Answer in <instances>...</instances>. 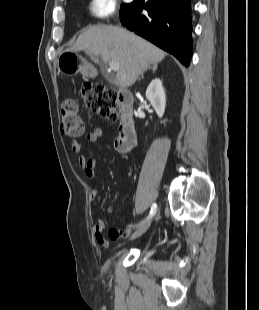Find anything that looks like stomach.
Wrapping results in <instances>:
<instances>
[{
  "instance_id": "stomach-1",
  "label": "stomach",
  "mask_w": 259,
  "mask_h": 310,
  "mask_svg": "<svg viewBox=\"0 0 259 310\" xmlns=\"http://www.w3.org/2000/svg\"><path fill=\"white\" fill-rule=\"evenodd\" d=\"M58 70L68 75L80 72L88 76L93 72V68L78 55L77 51L71 49H66L59 55Z\"/></svg>"
}]
</instances>
